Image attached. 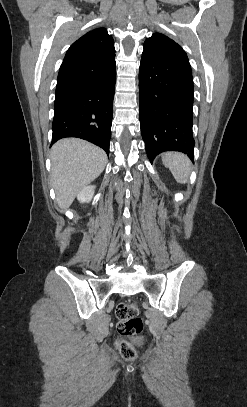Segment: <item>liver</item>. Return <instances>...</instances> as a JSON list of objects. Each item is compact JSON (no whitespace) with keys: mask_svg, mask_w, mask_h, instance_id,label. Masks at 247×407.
Segmentation results:
<instances>
[{"mask_svg":"<svg viewBox=\"0 0 247 407\" xmlns=\"http://www.w3.org/2000/svg\"><path fill=\"white\" fill-rule=\"evenodd\" d=\"M51 183L56 201L67 210L78 193L104 170L106 153L99 147L77 138L59 140L51 149Z\"/></svg>","mask_w":247,"mask_h":407,"instance_id":"6515ba94","label":"liver"}]
</instances>
